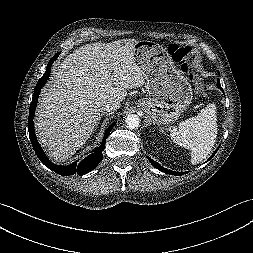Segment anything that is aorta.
<instances>
[{
    "label": "aorta",
    "instance_id": "1",
    "mask_svg": "<svg viewBox=\"0 0 253 253\" xmlns=\"http://www.w3.org/2000/svg\"><path fill=\"white\" fill-rule=\"evenodd\" d=\"M125 122L129 129H136L139 127L140 118L135 114H131L126 117Z\"/></svg>",
    "mask_w": 253,
    "mask_h": 253
}]
</instances>
